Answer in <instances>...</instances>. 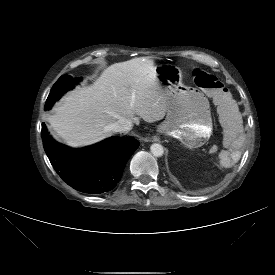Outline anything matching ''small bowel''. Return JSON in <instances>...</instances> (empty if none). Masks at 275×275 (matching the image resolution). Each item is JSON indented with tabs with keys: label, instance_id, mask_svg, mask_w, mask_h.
Here are the masks:
<instances>
[{
	"label": "small bowel",
	"instance_id": "small-bowel-1",
	"mask_svg": "<svg viewBox=\"0 0 275 275\" xmlns=\"http://www.w3.org/2000/svg\"><path fill=\"white\" fill-rule=\"evenodd\" d=\"M218 114L224 126V138L226 140V151H222L219 165L222 168H230L236 164L241 156V144L244 140L242 132V119L237 104L229 99L218 106Z\"/></svg>",
	"mask_w": 275,
	"mask_h": 275
}]
</instances>
